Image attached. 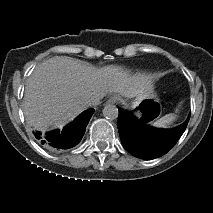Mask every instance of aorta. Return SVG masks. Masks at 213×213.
Returning <instances> with one entry per match:
<instances>
[{"label": "aorta", "mask_w": 213, "mask_h": 213, "mask_svg": "<svg viewBox=\"0 0 213 213\" xmlns=\"http://www.w3.org/2000/svg\"><path fill=\"white\" fill-rule=\"evenodd\" d=\"M103 116L108 120H115L118 118V108L115 105L108 104L103 109Z\"/></svg>", "instance_id": "762f6f07"}]
</instances>
